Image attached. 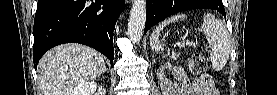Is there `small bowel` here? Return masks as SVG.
Segmentation results:
<instances>
[{"mask_svg": "<svg viewBox=\"0 0 277 95\" xmlns=\"http://www.w3.org/2000/svg\"><path fill=\"white\" fill-rule=\"evenodd\" d=\"M178 79L183 81L179 89L181 93H175V90H168L167 95H215L213 94V84L207 76H192L182 70L177 73Z\"/></svg>", "mask_w": 277, "mask_h": 95, "instance_id": "c3829d8e", "label": "small bowel"}]
</instances>
